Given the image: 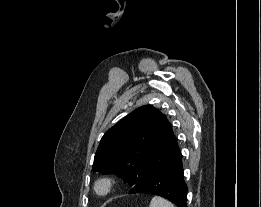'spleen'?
I'll return each instance as SVG.
<instances>
[{
  "label": "spleen",
  "instance_id": "3e777b00",
  "mask_svg": "<svg viewBox=\"0 0 261 207\" xmlns=\"http://www.w3.org/2000/svg\"><path fill=\"white\" fill-rule=\"evenodd\" d=\"M149 207H175V206L168 200L155 196L152 198Z\"/></svg>",
  "mask_w": 261,
  "mask_h": 207
}]
</instances>
